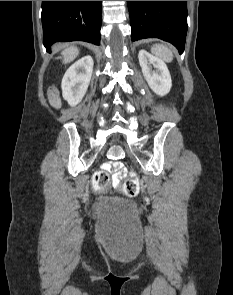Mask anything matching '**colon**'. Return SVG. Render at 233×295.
Segmentation results:
<instances>
[{"mask_svg": "<svg viewBox=\"0 0 233 295\" xmlns=\"http://www.w3.org/2000/svg\"><path fill=\"white\" fill-rule=\"evenodd\" d=\"M53 102L56 104L55 94H51ZM110 181L109 174L106 171H96L92 177V185L95 189L100 190L108 186ZM140 188L139 178L135 173H130V176L124 181L122 185V192L127 197H135Z\"/></svg>", "mask_w": 233, "mask_h": 295, "instance_id": "1", "label": "colon"}]
</instances>
